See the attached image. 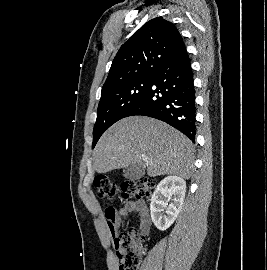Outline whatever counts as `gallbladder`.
<instances>
[{
  "instance_id": "gallbladder-1",
  "label": "gallbladder",
  "mask_w": 267,
  "mask_h": 270,
  "mask_svg": "<svg viewBox=\"0 0 267 270\" xmlns=\"http://www.w3.org/2000/svg\"><path fill=\"white\" fill-rule=\"evenodd\" d=\"M144 170L137 164L130 165L123 169V176L129 180H138L144 176Z\"/></svg>"
}]
</instances>
